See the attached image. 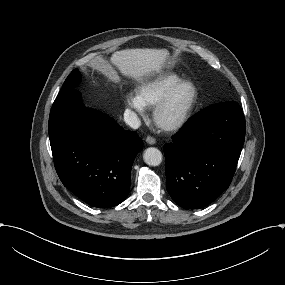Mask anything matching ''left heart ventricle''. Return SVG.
Wrapping results in <instances>:
<instances>
[{"instance_id":"b2bd125f","label":"left heart ventricle","mask_w":285,"mask_h":285,"mask_svg":"<svg viewBox=\"0 0 285 285\" xmlns=\"http://www.w3.org/2000/svg\"><path fill=\"white\" fill-rule=\"evenodd\" d=\"M193 96V88L185 86L180 89L173 98L170 106L161 115L160 121L167 125L177 120L188 107Z\"/></svg>"}]
</instances>
